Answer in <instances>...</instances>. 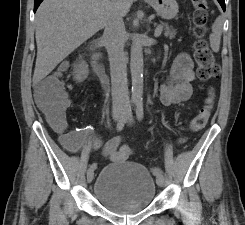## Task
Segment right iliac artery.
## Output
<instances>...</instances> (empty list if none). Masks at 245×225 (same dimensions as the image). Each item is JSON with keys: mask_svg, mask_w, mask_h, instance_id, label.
Wrapping results in <instances>:
<instances>
[{"mask_svg": "<svg viewBox=\"0 0 245 225\" xmlns=\"http://www.w3.org/2000/svg\"><path fill=\"white\" fill-rule=\"evenodd\" d=\"M131 112V105L129 106V110L125 113V115L122 117L121 120H119V122L117 123V126H116V130L117 131H121L127 121V119L129 118V114ZM91 169H96L97 168V164L93 163L91 166H90Z\"/></svg>", "mask_w": 245, "mask_h": 225, "instance_id": "obj_1", "label": "right iliac artery"}]
</instances>
